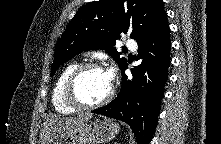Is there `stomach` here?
<instances>
[{
	"mask_svg": "<svg viewBox=\"0 0 221 144\" xmlns=\"http://www.w3.org/2000/svg\"><path fill=\"white\" fill-rule=\"evenodd\" d=\"M118 131L117 123L95 119L54 135L46 144H100L112 140Z\"/></svg>",
	"mask_w": 221,
	"mask_h": 144,
	"instance_id": "obj_1",
	"label": "stomach"
}]
</instances>
